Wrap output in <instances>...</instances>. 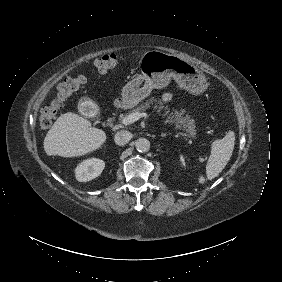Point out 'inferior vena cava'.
<instances>
[{
    "label": "inferior vena cava",
    "mask_w": 282,
    "mask_h": 282,
    "mask_svg": "<svg viewBox=\"0 0 282 282\" xmlns=\"http://www.w3.org/2000/svg\"><path fill=\"white\" fill-rule=\"evenodd\" d=\"M132 138V134L127 130H119L115 133L114 141L117 145H125Z\"/></svg>",
    "instance_id": "1"
}]
</instances>
